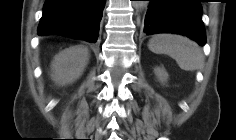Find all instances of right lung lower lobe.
Here are the masks:
<instances>
[{"label": "right lung lower lobe", "mask_w": 236, "mask_h": 140, "mask_svg": "<svg viewBox=\"0 0 236 140\" xmlns=\"http://www.w3.org/2000/svg\"><path fill=\"white\" fill-rule=\"evenodd\" d=\"M106 0H46L40 36L60 34L96 42Z\"/></svg>", "instance_id": "98d812e1"}]
</instances>
